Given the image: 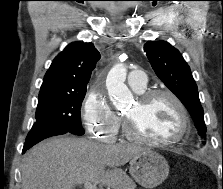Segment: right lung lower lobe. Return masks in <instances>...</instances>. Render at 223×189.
<instances>
[{
  "mask_svg": "<svg viewBox=\"0 0 223 189\" xmlns=\"http://www.w3.org/2000/svg\"><path fill=\"white\" fill-rule=\"evenodd\" d=\"M69 131L62 129V128H56V127H36L32 128L27 135L22 153H25L27 149L31 148L38 142L56 135H62L65 133H68Z\"/></svg>",
  "mask_w": 223,
  "mask_h": 189,
  "instance_id": "right-lung-lower-lobe-1",
  "label": "right lung lower lobe"
}]
</instances>
